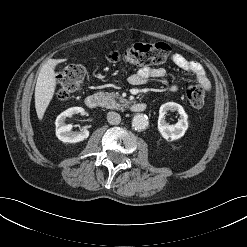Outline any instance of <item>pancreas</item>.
<instances>
[{"mask_svg":"<svg viewBox=\"0 0 247 247\" xmlns=\"http://www.w3.org/2000/svg\"><path fill=\"white\" fill-rule=\"evenodd\" d=\"M97 95L101 99L102 106L108 109L123 110L129 105V101L121 97L118 93L98 92Z\"/></svg>","mask_w":247,"mask_h":247,"instance_id":"pancreas-1","label":"pancreas"}]
</instances>
